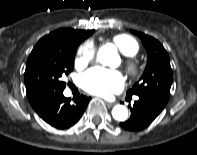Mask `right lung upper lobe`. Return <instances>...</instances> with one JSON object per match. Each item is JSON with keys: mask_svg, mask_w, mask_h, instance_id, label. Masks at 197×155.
<instances>
[{"mask_svg": "<svg viewBox=\"0 0 197 155\" xmlns=\"http://www.w3.org/2000/svg\"><path fill=\"white\" fill-rule=\"evenodd\" d=\"M93 33V30H74L70 28L58 29L46 36L45 38H62L71 41L85 40ZM35 111L39 110L45 103H30Z\"/></svg>", "mask_w": 197, "mask_h": 155, "instance_id": "right-lung-upper-lobe-1", "label": "right lung upper lobe"}]
</instances>
